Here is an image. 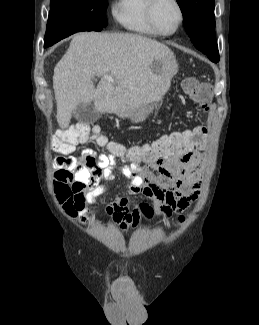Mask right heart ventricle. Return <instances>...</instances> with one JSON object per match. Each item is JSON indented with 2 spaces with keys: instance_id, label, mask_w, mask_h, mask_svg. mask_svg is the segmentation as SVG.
I'll return each instance as SVG.
<instances>
[{
  "instance_id": "right-heart-ventricle-1",
  "label": "right heart ventricle",
  "mask_w": 259,
  "mask_h": 325,
  "mask_svg": "<svg viewBox=\"0 0 259 325\" xmlns=\"http://www.w3.org/2000/svg\"><path fill=\"white\" fill-rule=\"evenodd\" d=\"M148 0H118L114 6V18L124 28L148 36L158 35L146 17Z\"/></svg>"
}]
</instances>
